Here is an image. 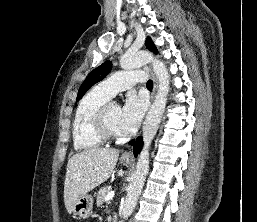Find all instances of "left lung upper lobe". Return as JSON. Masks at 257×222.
Here are the masks:
<instances>
[{
  "instance_id": "1",
  "label": "left lung upper lobe",
  "mask_w": 257,
  "mask_h": 222,
  "mask_svg": "<svg viewBox=\"0 0 257 222\" xmlns=\"http://www.w3.org/2000/svg\"><path fill=\"white\" fill-rule=\"evenodd\" d=\"M146 47L150 51L157 53V49L150 38L146 39ZM111 68H112V62L106 61L103 64H101L99 67L92 70L88 74V76L86 77L82 85L80 86V89L77 95V101L80 100L83 97V95L86 93V91L90 89L95 83L105 78V76L111 71Z\"/></svg>"
}]
</instances>
